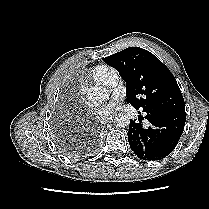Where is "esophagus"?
Segmentation results:
<instances>
[{"instance_id": "34e87169", "label": "esophagus", "mask_w": 209, "mask_h": 209, "mask_svg": "<svg viewBox=\"0 0 209 209\" xmlns=\"http://www.w3.org/2000/svg\"><path fill=\"white\" fill-rule=\"evenodd\" d=\"M111 120H112V119L110 118L109 120L102 122V124H103V125H106L107 123L111 122Z\"/></svg>"}]
</instances>
